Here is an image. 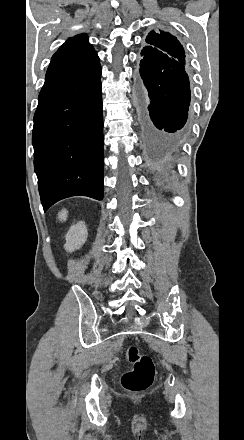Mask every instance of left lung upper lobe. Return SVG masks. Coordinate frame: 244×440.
I'll return each instance as SVG.
<instances>
[{
	"instance_id": "5c2ea615",
	"label": "left lung upper lobe",
	"mask_w": 244,
	"mask_h": 440,
	"mask_svg": "<svg viewBox=\"0 0 244 440\" xmlns=\"http://www.w3.org/2000/svg\"><path fill=\"white\" fill-rule=\"evenodd\" d=\"M142 49V59L158 64L185 65V51L177 38L168 32L151 31Z\"/></svg>"
}]
</instances>
